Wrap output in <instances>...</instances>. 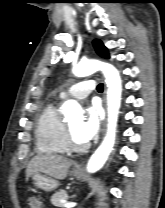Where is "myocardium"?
Here are the masks:
<instances>
[{
	"label": "myocardium",
	"instance_id": "f54148a6",
	"mask_svg": "<svg viewBox=\"0 0 165 208\" xmlns=\"http://www.w3.org/2000/svg\"><path fill=\"white\" fill-rule=\"evenodd\" d=\"M64 145L66 149L71 152L84 151L87 148L86 144L77 143L72 136L71 130L67 123H64Z\"/></svg>",
	"mask_w": 165,
	"mask_h": 208
}]
</instances>
